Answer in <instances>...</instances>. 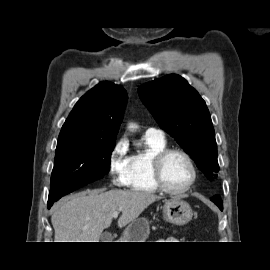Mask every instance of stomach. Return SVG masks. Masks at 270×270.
Here are the masks:
<instances>
[{
  "instance_id": "0dacf381",
  "label": "stomach",
  "mask_w": 270,
  "mask_h": 270,
  "mask_svg": "<svg viewBox=\"0 0 270 270\" xmlns=\"http://www.w3.org/2000/svg\"><path fill=\"white\" fill-rule=\"evenodd\" d=\"M163 218L175 225L187 224L193 216L190 205L177 197L165 200L162 206ZM149 235V222L145 218H137L124 231V242H145Z\"/></svg>"
}]
</instances>
